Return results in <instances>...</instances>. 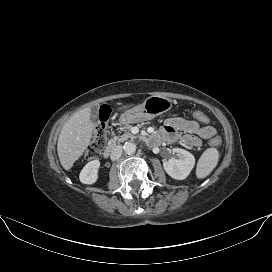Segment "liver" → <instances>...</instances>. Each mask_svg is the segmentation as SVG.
I'll return each mask as SVG.
<instances>
[{"label":"liver","instance_id":"6515ba94","mask_svg":"<svg viewBox=\"0 0 272 272\" xmlns=\"http://www.w3.org/2000/svg\"><path fill=\"white\" fill-rule=\"evenodd\" d=\"M125 105L121 109L127 108ZM93 124L90 120L88 108L77 111L63 125L57 143V152L62 167L70 170L90 143Z\"/></svg>","mask_w":272,"mask_h":272}]
</instances>
